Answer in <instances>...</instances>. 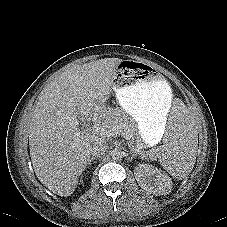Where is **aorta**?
Returning <instances> with one entry per match:
<instances>
[{
  "instance_id": "1",
  "label": "aorta",
  "mask_w": 227,
  "mask_h": 227,
  "mask_svg": "<svg viewBox=\"0 0 227 227\" xmlns=\"http://www.w3.org/2000/svg\"><path fill=\"white\" fill-rule=\"evenodd\" d=\"M110 156L113 160H117L122 157V152L119 149L115 148L110 152Z\"/></svg>"
}]
</instances>
